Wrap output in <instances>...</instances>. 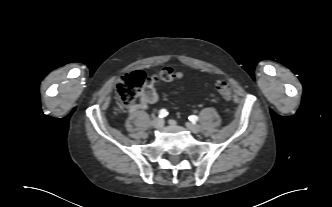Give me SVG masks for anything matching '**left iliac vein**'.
<instances>
[{"instance_id":"obj_1","label":"left iliac vein","mask_w":332,"mask_h":207,"mask_svg":"<svg viewBox=\"0 0 332 207\" xmlns=\"http://www.w3.org/2000/svg\"><path fill=\"white\" fill-rule=\"evenodd\" d=\"M186 126H187V128H188L191 132H193V133H195V134H197V133H199V132L201 131L200 126L197 125V124H193V123L187 122V123H186Z\"/></svg>"}]
</instances>
